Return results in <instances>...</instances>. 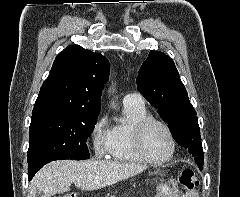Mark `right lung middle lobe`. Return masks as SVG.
<instances>
[{
  "mask_svg": "<svg viewBox=\"0 0 240 197\" xmlns=\"http://www.w3.org/2000/svg\"><path fill=\"white\" fill-rule=\"evenodd\" d=\"M98 114L41 112L32 115L29 129V180L46 163L58 159L84 160L90 157L87 138Z\"/></svg>",
  "mask_w": 240,
  "mask_h": 197,
  "instance_id": "1",
  "label": "right lung middle lobe"
}]
</instances>
